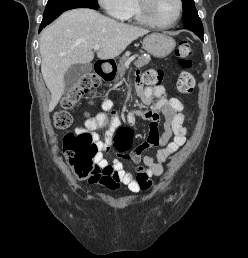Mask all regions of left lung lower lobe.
Returning <instances> with one entry per match:
<instances>
[{
	"label": "left lung lower lobe",
	"mask_w": 248,
	"mask_h": 258,
	"mask_svg": "<svg viewBox=\"0 0 248 258\" xmlns=\"http://www.w3.org/2000/svg\"><path fill=\"white\" fill-rule=\"evenodd\" d=\"M187 29L194 32L203 41V26L187 27Z\"/></svg>",
	"instance_id": "1"
}]
</instances>
